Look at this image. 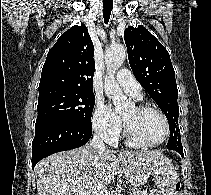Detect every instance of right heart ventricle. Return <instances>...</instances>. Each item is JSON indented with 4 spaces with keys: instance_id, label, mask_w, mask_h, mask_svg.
Returning <instances> with one entry per match:
<instances>
[{
    "instance_id": "right-heart-ventricle-1",
    "label": "right heart ventricle",
    "mask_w": 211,
    "mask_h": 195,
    "mask_svg": "<svg viewBox=\"0 0 211 195\" xmlns=\"http://www.w3.org/2000/svg\"><path fill=\"white\" fill-rule=\"evenodd\" d=\"M126 143H127L128 145H130V146H136V145H134L133 143H131L127 138H126Z\"/></svg>"
}]
</instances>
